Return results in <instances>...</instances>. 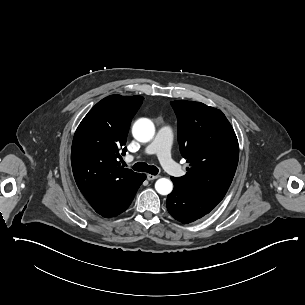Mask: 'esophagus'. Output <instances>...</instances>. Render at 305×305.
Masks as SVG:
<instances>
[{"label":"esophagus","instance_id":"34e87169","mask_svg":"<svg viewBox=\"0 0 305 305\" xmlns=\"http://www.w3.org/2000/svg\"><path fill=\"white\" fill-rule=\"evenodd\" d=\"M159 177H160L159 175H152V174H148L147 175V179L148 180L158 179Z\"/></svg>","mask_w":305,"mask_h":305}]
</instances>
